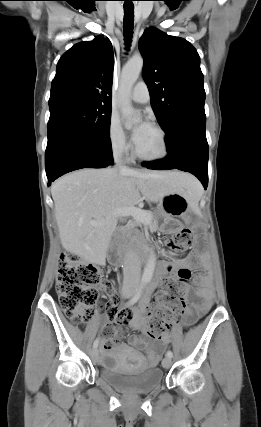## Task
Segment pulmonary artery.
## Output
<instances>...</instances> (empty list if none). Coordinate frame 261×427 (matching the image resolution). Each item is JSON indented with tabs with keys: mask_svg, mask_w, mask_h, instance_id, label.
Listing matches in <instances>:
<instances>
[{
	"mask_svg": "<svg viewBox=\"0 0 261 427\" xmlns=\"http://www.w3.org/2000/svg\"><path fill=\"white\" fill-rule=\"evenodd\" d=\"M130 98L137 103L145 104L150 100V94L147 85L144 82H138L133 88Z\"/></svg>",
	"mask_w": 261,
	"mask_h": 427,
	"instance_id": "obj_1",
	"label": "pulmonary artery"
}]
</instances>
